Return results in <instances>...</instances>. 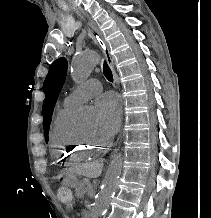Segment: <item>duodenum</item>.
Masks as SVG:
<instances>
[{
	"mask_svg": "<svg viewBox=\"0 0 211 218\" xmlns=\"http://www.w3.org/2000/svg\"><path fill=\"white\" fill-rule=\"evenodd\" d=\"M81 216L82 218H90L91 217V213L89 210L85 209L81 212Z\"/></svg>",
	"mask_w": 211,
	"mask_h": 218,
	"instance_id": "410a0bca",
	"label": "duodenum"
}]
</instances>
